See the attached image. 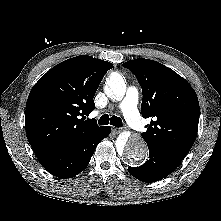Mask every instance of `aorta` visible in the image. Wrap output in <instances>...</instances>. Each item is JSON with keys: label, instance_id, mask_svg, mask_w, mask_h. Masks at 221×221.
Instances as JSON below:
<instances>
[{"label": "aorta", "instance_id": "obj_1", "mask_svg": "<svg viewBox=\"0 0 221 221\" xmlns=\"http://www.w3.org/2000/svg\"><path fill=\"white\" fill-rule=\"evenodd\" d=\"M105 93L115 100H121L124 97L126 84L121 74L114 72L109 76ZM116 147L129 162L134 164L141 163L148 155L147 145L139 135H120L116 141Z\"/></svg>", "mask_w": 221, "mask_h": 221}]
</instances>
